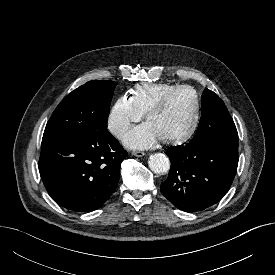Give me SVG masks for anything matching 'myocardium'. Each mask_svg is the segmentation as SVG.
<instances>
[{"label":"myocardium","mask_w":275,"mask_h":275,"mask_svg":"<svg viewBox=\"0 0 275 275\" xmlns=\"http://www.w3.org/2000/svg\"><path fill=\"white\" fill-rule=\"evenodd\" d=\"M182 90H190L193 92L194 94V99H195V109H194V114H193V118L191 121V124L189 125L188 129L175 137H171V138H165V139H161L162 142L166 143V144H180L183 143L185 141H187L188 139L191 138V136L194 134V132L196 131L198 124H199V119H200V112H201V101H200V96L198 91L190 86V85H178L173 87L172 89L168 90L167 92H165L146 112L145 114V119L148 121L150 119L151 116H153L154 114L160 112L167 104L168 100L170 99V97Z\"/></svg>","instance_id":"f54148a6"}]
</instances>
